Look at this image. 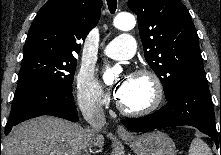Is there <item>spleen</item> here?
I'll return each mask as SVG.
<instances>
[{"instance_id": "spleen-1", "label": "spleen", "mask_w": 221, "mask_h": 155, "mask_svg": "<svg viewBox=\"0 0 221 155\" xmlns=\"http://www.w3.org/2000/svg\"><path fill=\"white\" fill-rule=\"evenodd\" d=\"M188 155H212V152L202 139L194 138L191 142Z\"/></svg>"}]
</instances>
